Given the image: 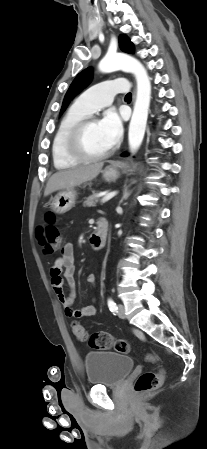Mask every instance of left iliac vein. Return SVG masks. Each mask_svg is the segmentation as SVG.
Instances as JSON below:
<instances>
[{"mask_svg": "<svg viewBox=\"0 0 207 449\" xmlns=\"http://www.w3.org/2000/svg\"><path fill=\"white\" fill-rule=\"evenodd\" d=\"M117 315H118L120 318H122V319H124V318L126 317V316H125V308H124V306H123L122 304H119V305H118Z\"/></svg>", "mask_w": 207, "mask_h": 449, "instance_id": "left-iliac-vein-1", "label": "left iliac vein"}]
</instances>
